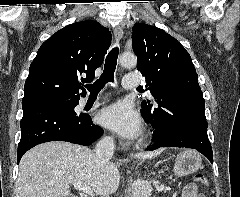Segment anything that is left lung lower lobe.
Wrapping results in <instances>:
<instances>
[{"mask_svg": "<svg viewBox=\"0 0 240 197\" xmlns=\"http://www.w3.org/2000/svg\"><path fill=\"white\" fill-rule=\"evenodd\" d=\"M204 99L195 96L181 98L173 107L167 106L150 116L144 115L153 129L154 145L160 147H186L196 149L213 163V152L207 135Z\"/></svg>", "mask_w": 240, "mask_h": 197, "instance_id": "0a47b994", "label": "left lung lower lobe"}]
</instances>
